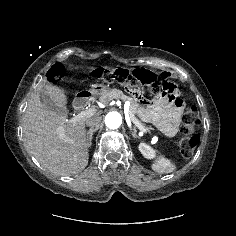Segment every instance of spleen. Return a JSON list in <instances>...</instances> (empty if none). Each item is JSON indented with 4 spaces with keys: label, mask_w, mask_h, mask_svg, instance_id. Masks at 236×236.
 I'll return each instance as SVG.
<instances>
[{
    "label": "spleen",
    "mask_w": 236,
    "mask_h": 236,
    "mask_svg": "<svg viewBox=\"0 0 236 236\" xmlns=\"http://www.w3.org/2000/svg\"><path fill=\"white\" fill-rule=\"evenodd\" d=\"M152 169L158 173H171L176 169V166L162 156L152 164Z\"/></svg>",
    "instance_id": "1"
}]
</instances>
